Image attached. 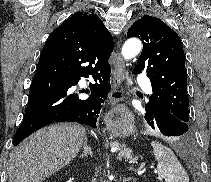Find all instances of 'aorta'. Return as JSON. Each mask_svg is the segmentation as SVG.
I'll return each mask as SVG.
<instances>
[{
	"instance_id": "762f6f07",
	"label": "aorta",
	"mask_w": 211,
	"mask_h": 182,
	"mask_svg": "<svg viewBox=\"0 0 211 182\" xmlns=\"http://www.w3.org/2000/svg\"><path fill=\"white\" fill-rule=\"evenodd\" d=\"M141 48V41L136 38H131L124 43L121 53L124 59L129 60L138 55Z\"/></svg>"
}]
</instances>
